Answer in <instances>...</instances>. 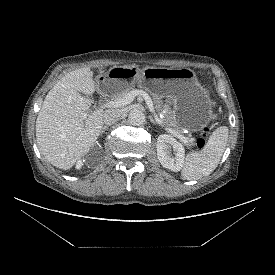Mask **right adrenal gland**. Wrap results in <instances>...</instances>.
<instances>
[{"label":"right adrenal gland","mask_w":275,"mask_h":275,"mask_svg":"<svg viewBox=\"0 0 275 275\" xmlns=\"http://www.w3.org/2000/svg\"><path fill=\"white\" fill-rule=\"evenodd\" d=\"M106 129H108V127L107 126H103L102 129H101V134H103Z\"/></svg>","instance_id":"obj_1"}]
</instances>
